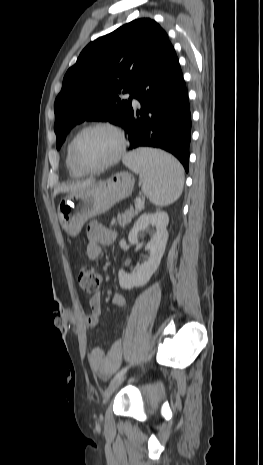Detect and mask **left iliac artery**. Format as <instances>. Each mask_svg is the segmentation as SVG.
Segmentation results:
<instances>
[{
    "mask_svg": "<svg viewBox=\"0 0 263 465\" xmlns=\"http://www.w3.org/2000/svg\"><path fill=\"white\" fill-rule=\"evenodd\" d=\"M127 369H128V366H126V367H124L123 369H121V370L114 376L113 380H115V379L121 377L122 375H124V374L126 373Z\"/></svg>",
    "mask_w": 263,
    "mask_h": 465,
    "instance_id": "44dca946",
    "label": "left iliac artery"
}]
</instances>
